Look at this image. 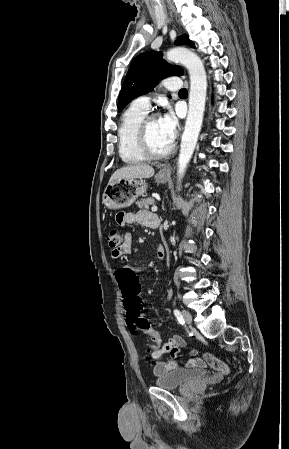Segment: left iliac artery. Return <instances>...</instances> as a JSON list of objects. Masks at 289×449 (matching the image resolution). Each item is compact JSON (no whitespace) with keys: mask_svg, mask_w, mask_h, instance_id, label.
<instances>
[{"mask_svg":"<svg viewBox=\"0 0 289 449\" xmlns=\"http://www.w3.org/2000/svg\"><path fill=\"white\" fill-rule=\"evenodd\" d=\"M174 315H175V317L178 319V321H179L181 324H184L183 316H182L181 312H180L178 309H175V310H174Z\"/></svg>","mask_w":289,"mask_h":449,"instance_id":"1","label":"left iliac artery"}]
</instances>
